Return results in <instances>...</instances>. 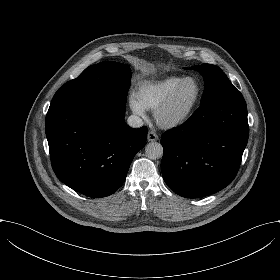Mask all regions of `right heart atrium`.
<instances>
[{
	"label": "right heart atrium",
	"mask_w": 280,
	"mask_h": 280,
	"mask_svg": "<svg viewBox=\"0 0 280 280\" xmlns=\"http://www.w3.org/2000/svg\"><path fill=\"white\" fill-rule=\"evenodd\" d=\"M129 104H130V107L131 109L139 114V115H144L145 114V111H144V108L138 103V101L136 100V98H130L129 100Z\"/></svg>",
	"instance_id": "right-heart-atrium-1"
}]
</instances>
